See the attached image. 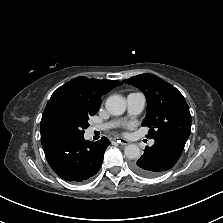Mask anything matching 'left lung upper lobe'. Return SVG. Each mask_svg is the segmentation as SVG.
I'll return each instance as SVG.
<instances>
[{
	"label": "left lung upper lobe",
	"instance_id": "5c2ea615",
	"mask_svg": "<svg viewBox=\"0 0 223 223\" xmlns=\"http://www.w3.org/2000/svg\"><path fill=\"white\" fill-rule=\"evenodd\" d=\"M139 88L146 96L148 138L174 136L187 141L191 128L189 107L180 91L152 74H141L123 81Z\"/></svg>",
	"mask_w": 223,
	"mask_h": 223
}]
</instances>
